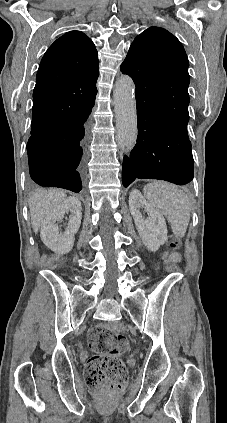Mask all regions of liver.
Segmentation results:
<instances>
[{"label": "liver", "mask_w": 227, "mask_h": 423, "mask_svg": "<svg viewBox=\"0 0 227 423\" xmlns=\"http://www.w3.org/2000/svg\"><path fill=\"white\" fill-rule=\"evenodd\" d=\"M66 196L61 190H42L29 198L31 225L34 233H38L41 223L48 211L62 204Z\"/></svg>", "instance_id": "6515ba94"}]
</instances>
